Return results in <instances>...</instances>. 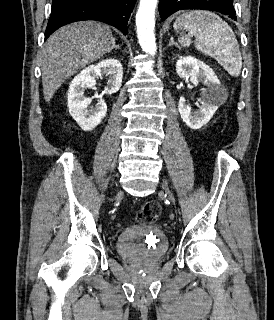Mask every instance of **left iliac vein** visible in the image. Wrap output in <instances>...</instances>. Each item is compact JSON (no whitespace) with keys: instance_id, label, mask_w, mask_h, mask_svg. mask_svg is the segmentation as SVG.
Returning a JSON list of instances; mask_svg holds the SVG:
<instances>
[{"instance_id":"1","label":"left iliac vein","mask_w":274,"mask_h":320,"mask_svg":"<svg viewBox=\"0 0 274 320\" xmlns=\"http://www.w3.org/2000/svg\"><path fill=\"white\" fill-rule=\"evenodd\" d=\"M163 189L166 192V194L168 195L171 202H174V197H173L172 193L170 192V190L168 189V187L166 185H164Z\"/></svg>"}]
</instances>
